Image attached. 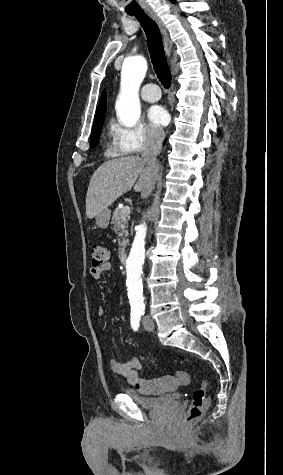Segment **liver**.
I'll return each mask as SVG.
<instances>
[{
  "mask_svg": "<svg viewBox=\"0 0 283 475\" xmlns=\"http://www.w3.org/2000/svg\"><path fill=\"white\" fill-rule=\"evenodd\" d=\"M143 162L139 156H127L104 162L94 172L87 190L86 216L95 218L102 210L111 206L117 198L126 194L134 186L135 192L145 196L151 186V178L146 174Z\"/></svg>",
  "mask_w": 283,
  "mask_h": 475,
  "instance_id": "1",
  "label": "liver"
}]
</instances>
